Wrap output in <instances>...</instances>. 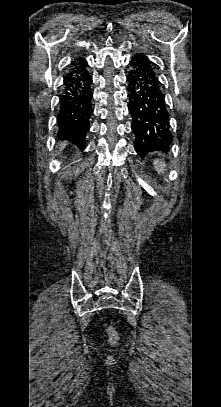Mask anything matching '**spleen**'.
Here are the masks:
<instances>
[{
  "label": "spleen",
  "mask_w": 221,
  "mask_h": 407,
  "mask_svg": "<svg viewBox=\"0 0 221 407\" xmlns=\"http://www.w3.org/2000/svg\"><path fill=\"white\" fill-rule=\"evenodd\" d=\"M153 164H154L156 170L158 171V173H164L166 165L162 160L155 159Z\"/></svg>",
  "instance_id": "obj_1"
}]
</instances>
